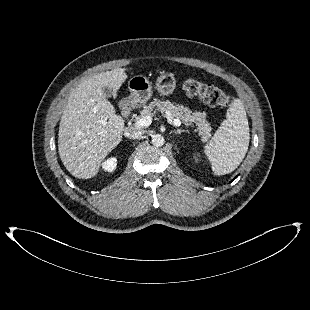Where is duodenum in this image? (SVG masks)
I'll list each match as a JSON object with an SVG mask.
<instances>
[{
    "instance_id": "obj_1",
    "label": "duodenum",
    "mask_w": 310,
    "mask_h": 310,
    "mask_svg": "<svg viewBox=\"0 0 310 310\" xmlns=\"http://www.w3.org/2000/svg\"><path fill=\"white\" fill-rule=\"evenodd\" d=\"M120 110L123 116H128L131 112V105L128 100H125L120 105Z\"/></svg>"
}]
</instances>
